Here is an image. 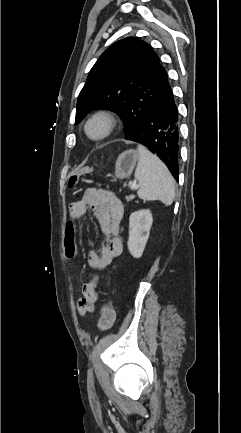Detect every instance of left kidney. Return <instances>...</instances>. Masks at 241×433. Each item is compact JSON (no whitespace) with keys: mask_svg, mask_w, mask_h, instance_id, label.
Returning <instances> with one entry per match:
<instances>
[{"mask_svg":"<svg viewBox=\"0 0 241 433\" xmlns=\"http://www.w3.org/2000/svg\"><path fill=\"white\" fill-rule=\"evenodd\" d=\"M153 218L150 210L133 212L129 218V238L127 246L134 258H140L150 235Z\"/></svg>","mask_w":241,"mask_h":433,"instance_id":"5707ae66","label":"left kidney"}]
</instances>
